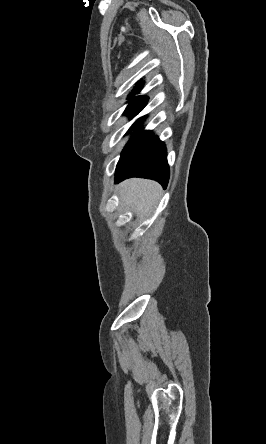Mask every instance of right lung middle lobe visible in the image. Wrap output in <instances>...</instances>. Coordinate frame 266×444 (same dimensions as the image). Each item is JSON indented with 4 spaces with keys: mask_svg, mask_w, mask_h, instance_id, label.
Segmentation results:
<instances>
[{
    "mask_svg": "<svg viewBox=\"0 0 266 444\" xmlns=\"http://www.w3.org/2000/svg\"><path fill=\"white\" fill-rule=\"evenodd\" d=\"M148 98H131L130 99V103L127 106L124 114L128 115L129 117H134L135 115H137L147 104ZM145 119L144 117L139 118L132 126L131 128L128 130V132H131V129H135L143 120ZM142 133V131H136L135 132V136H132L131 139L129 140V142L127 143V145H129L138 135H140ZM126 145V146H127Z\"/></svg>",
    "mask_w": 266,
    "mask_h": 444,
    "instance_id": "obj_1",
    "label": "right lung middle lobe"
}]
</instances>
